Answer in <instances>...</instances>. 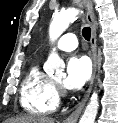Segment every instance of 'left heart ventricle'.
<instances>
[{
    "label": "left heart ventricle",
    "mask_w": 118,
    "mask_h": 123,
    "mask_svg": "<svg viewBox=\"0 0 118 123\" xmlns=\"http://www.w3.org/2000/svg\"><path fill=\"white\" fill-rule=\"evenodd\" d=\"M61 81V79H56V82H60Z\"/></svg>",
    "instance_id": "b2bd125f"
}]
</instances>
